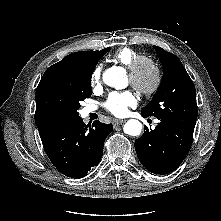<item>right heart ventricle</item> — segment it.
<instances>
[{"label":"right heart ventricle","instance_id":"obj_1","mask_svg":"<svg viewBox=\"0 0 221 221\" xmlns=\"http://www.w3.org/2000/svg\"><path fill=\"white\" fill-rule=\"evenodd\" d=\"M137 56L139 53L134 49L122 47L114 53L113 60L128 68Z\"/></svg>","mask_w":221,"mask_h":221}]
</instances>
